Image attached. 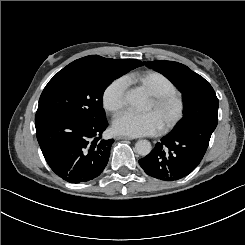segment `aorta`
I'll list each match as a JSON object with an SVG mask.
<instances>
[{"mask_svg":"<svg viewBox=\"0 0 245 245\" xmlns=\"http://www.w3.org/2000/svg\"><path fill=\"white\" fill-rule=\"evenodd\" d=\"M126 102L135 109H141L145 106L146 98L137 91H130L125 96ZM152 150L151 143L147 140H139L135 144V152L140 156H147Z\"/></svg>","mask_w":245,"mask_h":245,"instance_id":"obj_1","label":"aorta"}]
</instances>
